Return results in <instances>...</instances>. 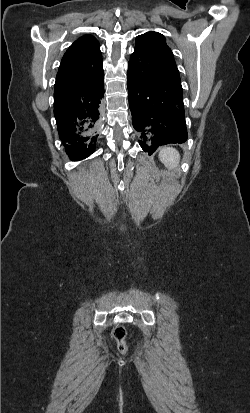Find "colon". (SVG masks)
I'll list each match as a JSON object with an SVG mask.
<instances>
[{
    "label": "colon",
    "mask_w": 250,
    "mask_h": 413,
    "mask_svg": "<svg viewBox=\"0 0 250 413\" xmlns=\"http://www.w3.org/2000/svg\"><path fill=\"white\" fill-rule=\"evenodd\" d=\"M126 330L122 325H117L112 330V336L117 343L118 350L121 353H126Z\"/></svg>",
    "instance_id": "1"
}]
</instances>
